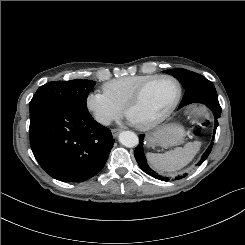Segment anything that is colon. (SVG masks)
Listing matches in <instances>:
<instances>
[{
    "label": "colon",
    "mask_w": 245,
    "mask_h": 245,
    "mask_svg": "<svg viewBox=\"0 0 245 245\" xmlns=\"http://www.w3.org/2000/svg\"><path fill=\"white\" fill-rule=\"evenodd\" d=\"M207 125H208L207 121H202L196 127L193 128L192 134H194V135L200 134L202 132L203 128L206 127Z\"/></svg>",
    "instance_id": "obj_1"
}]
</instances>
